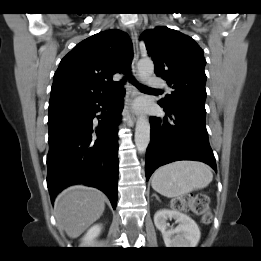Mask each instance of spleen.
Masks as SVG:
<instances>
[{
    "instance_id": "1",
    "label": "spleen",
    "mask_w": 261,
    "mask_h": 261,
    "mask_svg": "<svg viewBox=\"0 0 261 261\" xmlns=\"http://www.w3.org/2000/svg\"><path fill=\"white\" fill-rule=\"evenodd\" d=\"M212 179V169L208 165L196 161H176L154 172L152 188L165 197L173 198L205 188Z\"/></svg>"
}]
</instances>
